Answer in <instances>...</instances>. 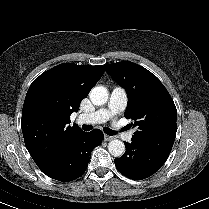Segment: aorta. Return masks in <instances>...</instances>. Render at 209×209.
Returning <instances> with one entry per match:
<instances>
[{"label": "aorta", "mask_w": 209, "mask_h": 209, "mask_svg": "<svg viewBox=\"0 0 209 209\" xmlns=\"http://www.w3.org/2000/svg\"><path fill=\"white\" fill-rule=\"evenodd\" d=\"M108 97V90L103 86H96L90 91V100L96 106L104 105ZM108 151L114 157H121L125 152V145L122 141L114 139L109 142Z\"/></svg>", "instance_id": "obj_1"}]
</instances>
